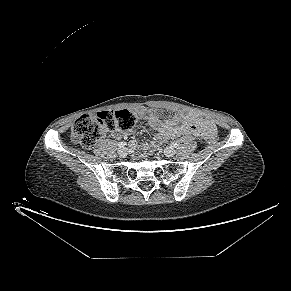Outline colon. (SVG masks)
<instances>
[{"label": "colon", "instance_id": "1", "mask_svg": "<svg viewBox=\"0 0 291 291\" xmlns=\"http://www.w3.org/2000/svg\"><path fill=\"white\" fill-rule=\"evenodd\" d=\"M136 122L137 115L126 109L85 114L74 122L72 138L82 147L90 149L110 132L128 131L135 126ZM203 137L207 143L213 144L217 141V131L211 130Z\"/></svg>", "mask_w": 291, "mask_h": 291}]
</instances>
